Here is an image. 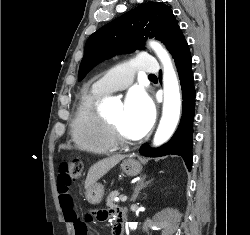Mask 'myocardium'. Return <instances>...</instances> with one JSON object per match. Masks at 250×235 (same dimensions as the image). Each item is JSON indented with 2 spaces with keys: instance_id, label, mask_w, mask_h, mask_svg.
<instances>
[{
  "instance_id": "obj_1",
  "label": "myocardium",
  "mask_w": 250,
  "mask_h": 235,
  "mask_svg": "<svg viewBox=\"0 0 250 235\" xmlns=\"http://www.w3.org/2000/svg\"><path fill=\"white\" fill-rule=\"evenodd\" d=\"M111 134L115 140V142L118 145H130L135 143L136 141L134 139H129L127 138L121 131L120 127L118 125H116L115 123H113L112 121H110L109 119L105 118Z\"/></svg>"
}]
</instances>
